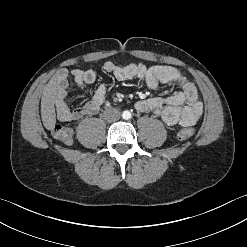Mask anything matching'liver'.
<instances>
[{"mask_svg": "<svg viewBox=\"0 0 247 247\" xmlns=\"http://www.w3.org/2000/svg\"><path fill=\"white\" fill-rule=\"evenodd\" d=\"M58 90L57 79L54 77L51 78L43 90L41 98V118L47 130H52L56 124L54 103Z\"/></svg>", "mask_w": 247, "mask_h": 247, "instance_id": "liver-1", "label": "liver"}]
</instances>
